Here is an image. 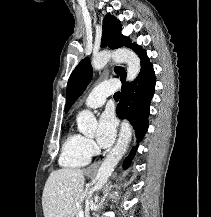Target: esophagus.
<instances>
[{"label": "esophagus", "instance_id": "obj_1", "mask_svg": "<svg viewBox=\"0 0 211 217\" xmlns=\"http://www.w3.org/2000/svg\"><path fill=\"white\" fill-rule=\"evenodd\" d=\"M113 65H115L113 63ZM101 161L95 162L93 163L90 167H89V171H96L98 169V167L100 166Z\"/></svg>", "mask_w": 211, "mask_h": 217}]
</instances>
